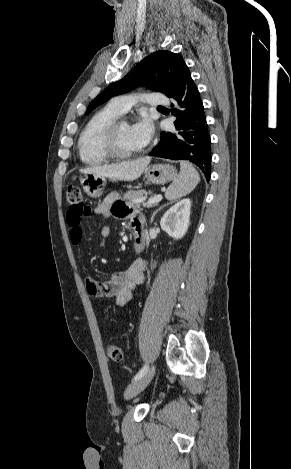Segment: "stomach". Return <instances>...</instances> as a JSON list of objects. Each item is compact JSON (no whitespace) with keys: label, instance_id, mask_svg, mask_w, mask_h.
Masks as SVG:
<instances>
[{"label":"stomach","instance_id":"obj_1","mask_svg":"<svg viewBox=\"0 0 291 469\" xmlns=\"http://www.w3.org/2000/svg\"><path fill=\"white\" fill-rule=\"evenodd\" d=\"M177 172L174 166L169 164H154L144 170L147 182L163 185L174 180ZM84 191L92 198H98L104 193L106 178L87 174L81 179Z\"/></svg>","mask_w":291,"mask_h":469}]
</instances>
